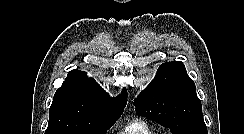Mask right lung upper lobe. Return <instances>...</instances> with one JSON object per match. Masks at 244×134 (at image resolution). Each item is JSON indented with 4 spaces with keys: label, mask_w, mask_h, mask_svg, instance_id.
I'll list each match as a JSON object with an SVG mask.
<instances>
[{
    "label": "right lung upper lobe",
    "mask_w": 244,
    "mask_h": 134,
    "mask_svg": "<svg viewBox=\"0 0 244 134\" xmlns=\"http://www.w3.org/2000/svg\"><path fill=\"white\" fill-rule=\"evenodd\" d=\"M126 103L125 88L119 96L111 98L93 78H88L85 72L72 70L57 89L50 112L82 118L112 117L122 114Z\"/></svg>",
    "instance_id": "1"
}]
</instances>
